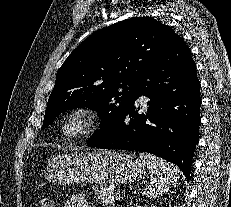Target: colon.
<instances>
[{
	"instance_id": "colon-1",
	"label": "colon",
	"mask_w": 231,
	"mask_h": 207,
	"mask_svg": "<svg viewBox=\"0 0 231 207\" xmlns=\"http://www.w3.org/2000/svg\"><path fill=\"white\" fill-rule=\"evenodd\" d=\"M38 207H53L52 201L49 198H42Z\"/></svg>"
}]
</instances>
